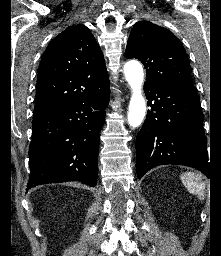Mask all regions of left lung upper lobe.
I'll return each mask as SVG.
<instances>
[{
    "instance_id": "obj_1",
    "label": "left lung upper lobe",
    "mask_w": 221,
    "mask_h": 256,
    "mask_svg": "<svg viewBox=\"0 0 221 256\" xmlns=\"http://www.w3.org/2000/svg\"><path fill=\"white\" fill-rule=\"evenodd\" d=\"M127 58H137L146 69L145 84L194 89L190 63L179 39L149 21L137 22L129 36Z\"/></svg>"
}]
</instances>
